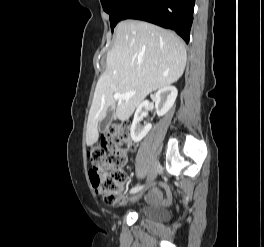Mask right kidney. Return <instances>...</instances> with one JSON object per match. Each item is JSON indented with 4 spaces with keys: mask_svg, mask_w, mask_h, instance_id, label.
Listing matches in <instances>:
<instances>
[{
    "mask_svg": "<svg viewBox=\"0 0 264 247\" xmlns=\"http://www.w3.org/2000/svg\"><path fill=\"white\" fill-rule=\"evenodd\" d=\"M177 94L178 91L174 86H166L157 91L155 95V108L159 117L165 115L171 109L177 98ZM148 109L149 102L144 101L138 106L135 112L130 129V135L134 142L141 141L152 128L151 124L141 125V121Z\"/></svg>",
    "mask_w": 264,
    "mask_h": 247,
    "instance_id": "obj_1",
    "label": "right kidney"
}]
</instances>
